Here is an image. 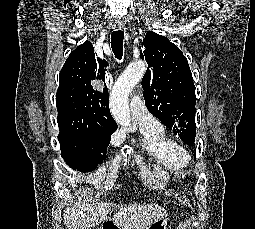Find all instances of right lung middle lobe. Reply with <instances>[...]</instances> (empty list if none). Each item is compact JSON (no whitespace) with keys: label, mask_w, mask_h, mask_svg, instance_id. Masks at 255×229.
I'll return each instance as SVG.
<instances>
[{"label":"right lung middle lobe","mask_w":255,"mask_h":229,"mask_svg":"<svg viewBox=\"0 0 255 229\" xmlns=\"http://www.w3.org/2000/svg\"><path fill=\"white\" fill-rule=\"evenodd\" d=\"M61 156L72 169L83 173L93 171L106 159L110 136L97 134H69L58 136Z\"/></svg>","instance_id":"1"}]
</instances>
